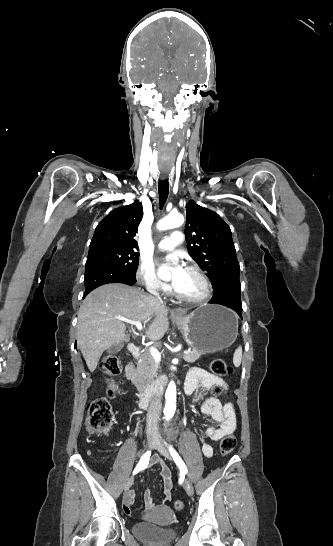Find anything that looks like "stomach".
Wrapping results in <instances>:
<instances>
[{
    "mask_svg": "<svg viewBox=\"0 0 333 546\" xmlns=\"http://www.w3.org/2000/svg\"><path fill=\"white\" fill-rule=\"evenodd\" d=\"M187 344L204 353H216L231 346L238 335V321L230 309L203 305L175 320Z\"/></svg>",
    "mask_w": 333,
    "mask_h": 546,
    "instance_id": "1",
    "label": "stomach"
}]
</instances>
